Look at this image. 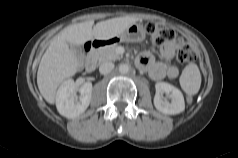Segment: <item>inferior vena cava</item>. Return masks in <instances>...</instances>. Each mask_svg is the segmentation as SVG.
Returning a JSON list of instances; mask_svg holds the SVG:
<instances>
[{"instance_id": "1", "label": "inferior vena cava", "mask_w": 238, "mask_h": 158, "mask_svg": "<svg viewBox=\"0 0 238 158\" xmlns=\"http://www.w3.org/2000/svg\"><path fill=\"white\" fill-rule=\"evenodd\" d=\"M114 68V64L112 62H104L100 65L99 71L101 74L106 75L110 73Z\"/></svg>"}]
</instances>
